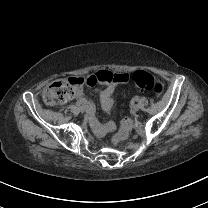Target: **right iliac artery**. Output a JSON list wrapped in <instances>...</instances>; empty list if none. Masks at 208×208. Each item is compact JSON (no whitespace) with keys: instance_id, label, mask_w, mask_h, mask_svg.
<instances>
[{"instance_id":"1","label":"right iliac artery","mask_w":208,"mask_h":208,"mask_svg":"<svg viewBox=\"0 0 208 208\" xmlns=\"http://www.w3.org/2000/svg\"><path fill=\"white\" fill-rule=\"evenodd\" d=\"M76 105H77L78 107H82L80 102H77Z\"/></svg>"}]
</instances>
